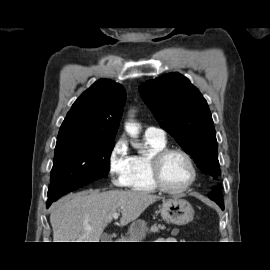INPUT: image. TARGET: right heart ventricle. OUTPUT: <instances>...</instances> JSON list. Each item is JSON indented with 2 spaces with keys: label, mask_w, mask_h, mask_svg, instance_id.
I'll return each mask as SVG.
<instances>
[{
  "label": "right heart ventricle",
  "mask_w": 270,
  "mask_h": 270,
  "mask_svg": "<svg viewBox=\"0 0 270 270\" xmlns=\"http://www.w3.org/2000/svg\"><path fill=\"white\" fill-rule=\"evenodd\" d=\"M147 152L132 156L131 173L128 187L132 191L140 193H153L157 188L152 183L149 173V161L151 156L166 147V140L145 137Z\"/></svg>",
  "instance_id": "e07e8e85"
}]
</instances>
